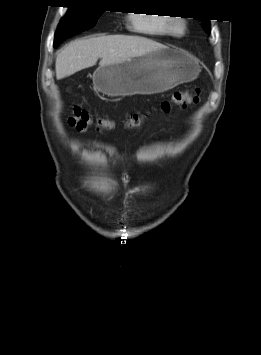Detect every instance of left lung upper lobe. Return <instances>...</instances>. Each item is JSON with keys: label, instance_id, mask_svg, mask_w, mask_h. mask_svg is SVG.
Listing matches in <instances>:
<instances>
[{"label": "left lung upper lobe", "instance_id": "1", "mask_svg": "<svg viewBox=\"0 0 261 355\" xmlns=\"http://www.w3.org/2000/svg\"><path fill=\"white\" fill-rule=\"evenodd\" d=\"M203 29L205 30L206 33L210 34V22L209 21L203 23Z\"/></svg>", "mask_w": 261, "mask_h": 355}]
</instances>
